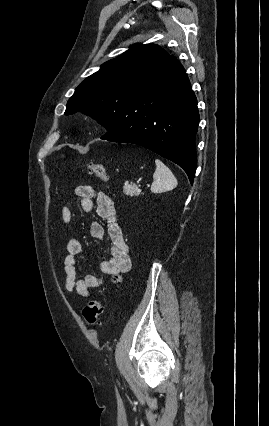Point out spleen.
I'll return each instance as SVG.
<instances>
[{
    "instance_id": "obj_1",
    "label": "spleen",
    "mask_w": 269,
    "mask_h": 426,
    "mask_svg": "<svg viewBox=\"0 0 269 426\" xmlns=\"http://www.w3.org/2000/svg\"><path fill=\"white\" fill-rule=\"evenodd\" d=\"M155 164L151 191L157 194L174 189L177 186V180L170 169L159 159L155 160Z\"/></svg>"
}]
</instances>
